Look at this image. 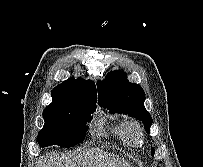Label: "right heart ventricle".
<instances>
[{
  "instance_id": "right-heart-ventricle-1",
  "label": "right heart ventricle",
  "mask_w": 203,
  "mask_h": 167,
  "mask_svg": "<svg viewBox=\"0 0 203 167\" xmlns=\"http://www.w3.org/2000/svg\"><path fill=\"white\" fill-rule=\"evenodd\" d=\"M110 132L112 134H114L115 136H117L119 139H121L124 142H127V143L131 142L129 137H128L124 122L115 123L113 126L110 127Z\"/></svg>"
}]
</instances>
